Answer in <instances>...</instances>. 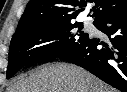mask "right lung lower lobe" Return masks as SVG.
<instances>
[{
	"label": "right lung lower lobe",
	"instance_id": "1",
	"mask_svg": "<svg viewBox=\"0 0 127 92\" xmlns=\"http://www.w3.org/2000/svg\"><path fill=\"white\" fill-rule=\"evenodd\" d=\"M94 26L109 40L104 42L88 37L59 58L81 66L116 89L127 92V9L102 17Z\"/></svg>",
	"mask_w": 127,
	"mask_h": 92
}]
</instances>
